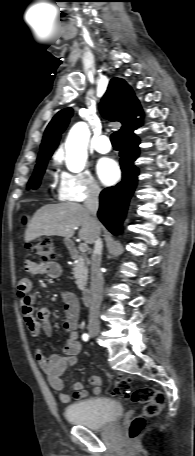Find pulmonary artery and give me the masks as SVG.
<instances>
[{
	"instance_id": "e3ab8cb5",
	"label": "pulmonary artery",
	"mask_w": 195,
	"mask_h": 456,
	"mask_svg": "<svg viewBox=\"0 0 195 456\" xmlns=\"http://www.w3.org/2000/svg\"><path fill=\"white\" fill-rule=\"evenodd\" d=\"M95 150L101 154L109 153L111 151L109 138L105 135L100 136L95 143Z\"/></svg>"
}]
</instances>
